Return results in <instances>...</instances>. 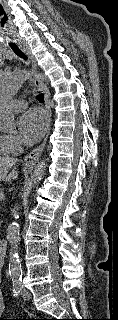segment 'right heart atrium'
Returning <instances> with one entry per match:
<instances>
[{"mask_svg": "<svg viewBox=\"0 0 118 320\" xmlns=\"http://www.w3.org/2000/svg\"><path fill=\"white\" fill-rule=\"evenodd\" d=\"M3 141L9 153H16L22 147L21 139L15 134L3 135Z\"/></svg>", "mask_w": 118, "mask_h": 320, "instance_id": "d8ad5b80", "label": "right heart atrium"}]
</instances>
